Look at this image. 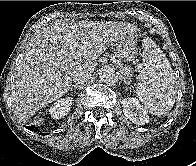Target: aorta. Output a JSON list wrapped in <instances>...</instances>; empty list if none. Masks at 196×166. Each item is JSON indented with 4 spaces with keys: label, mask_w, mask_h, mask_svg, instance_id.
Instances as JSON below:
<instances>
[{
    "label": "aorta",
    "mask_w": 196,
    "mask_h": 166,
    "mask_svg": "<svg viewBox=\"0 0 196 166\" xmlns=\"http://www.w3.org/2000/svg\"><path fill=\"white\" fill-rule=\"evenodd\" d=\"M99 79L102 82L109 83L115 79V71L112 67L105 65L99 70Z\"/></svg>",
    "instance_id": "obj_1"
}]
</instances>
